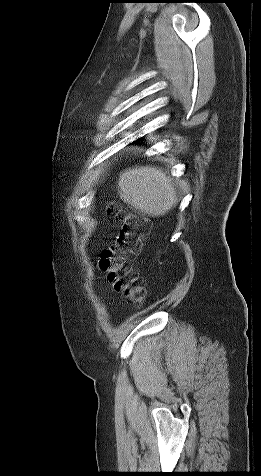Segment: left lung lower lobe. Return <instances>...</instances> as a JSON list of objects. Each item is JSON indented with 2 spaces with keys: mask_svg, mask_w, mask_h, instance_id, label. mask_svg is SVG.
Segmentation results:
<instances>
[{
  "mask_svg": "<svg viewBox=\"0 0 261 476\" xmlns=\"http://www.w3.org/2000/svg\"><path fill=\"white\" fill-rule=\"evenodd\" d=\"M140 140H142V139H138V140H136V142H137V141H140Z\"/></svg>",
  "mask_w": 261,
  "mask_h": 476,
  "instance_id": "left-lung-lower-lobe-1",
  "label": "left lung lower lobe"
}]
</instances>
